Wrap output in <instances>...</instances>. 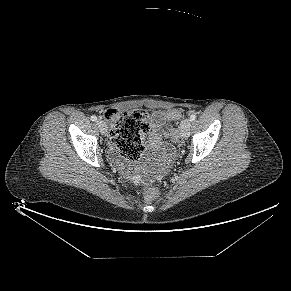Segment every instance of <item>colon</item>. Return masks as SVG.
I'll list each match as a JSON object with an SVG mask.
<instances>
[{"label": "colon", "instance_id": "5ec220e1", "mask_svg": "<svg viewBox=\"0 0 291 291\" xmlns=\"http://www.w3.org/2000/svg\"><path fill=\"white\" fill-rule=\"evenodd\" d=\"M168 113L171 121H178L184 116L180 109H172ZM103 118L110 126L111 140L121 155L132 161L138 160L143 153L141 135L150 129L147 113L144 110L126 112L108 109L104 112ZM144 196L146 200L152 202L159 197V189L150 186Z\"/></svg>", "mask_w": 291, "mask_h": 291}]
</instances>
